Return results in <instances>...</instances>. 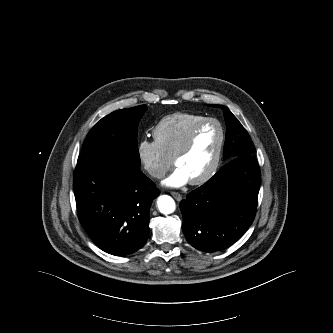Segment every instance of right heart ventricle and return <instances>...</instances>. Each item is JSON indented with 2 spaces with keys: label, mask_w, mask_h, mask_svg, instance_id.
Returning <instances> with one entry per match:
<instances>
[{
  "label": "right heart ventricle",
  "mask_w": 333,
  "mask_h": 333,
  "mask_svg": "<svg viewBox=\"0 0 333 333\" xmlns=\"http://www.w3.org/2000/svg\"><path fill=\"white\" fill-rule=\"evenodd\" d=\"M206 117L200 114L177 112L163 117L153 128V138L164 155L172 157L191 129Z\"/></svg>",
  "instance_id": "1"
}]
</instances>
